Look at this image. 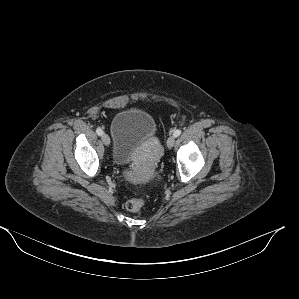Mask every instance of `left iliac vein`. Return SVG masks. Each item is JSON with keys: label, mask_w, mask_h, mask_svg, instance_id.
I'll use <instances>...</instances> for the list:
<instances>
[{"label": "left iliac vein", "mask_w": 299, "mask_h": 299, "mask_svg": "<svg viewBox=\"0 0 299 299\" xmlns=\"http://www.w3.org/2000/svg\"><path fill=\"white\" fill-rule=\"evenodd\" d=\"M175 144V136H170L167 140V147L172 148Z\"/></svg>", "instance_id": "obj_1"}]
</instances>
